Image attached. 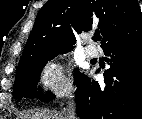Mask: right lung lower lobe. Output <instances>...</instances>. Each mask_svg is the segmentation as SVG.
<instances>
[{
	"instance_id": "obj_1",
	"label": "right lung lower lobe",
	"mask_w": 142,
	"mask_h": 119,
	"mask_svg": "<svg viewBox=\"0 0 142 119\" xmlns=\"http://www.w3.org/2000/svg\"><path fill=\"white\" fill-rule=\"evenodd\" d=\"M104 84L82 75L75 101L81 119H142V33L106 47Z\"/></svg>"
}]
</instances>
